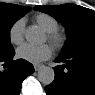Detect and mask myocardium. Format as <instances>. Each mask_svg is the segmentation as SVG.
<instances>
[{
    "instance_id": "obj_1",
    "label": "myocardium",
    "mask_w": 95,
    "mask_h": 95,
    "mask_svg": "<svg viewBox=\"0 0 95 95\" xmlns=\"http://www.w3.org/2000/svg\"><path fill=\"white\" fill-rule=\"evenodd\" d=\"M47 40L50 42L54 49L60 50L66 42V37L63 33L56 30L47 33Z\"/></svg>"
}]
</instances>
